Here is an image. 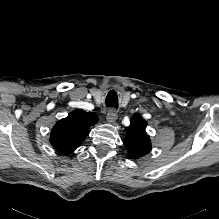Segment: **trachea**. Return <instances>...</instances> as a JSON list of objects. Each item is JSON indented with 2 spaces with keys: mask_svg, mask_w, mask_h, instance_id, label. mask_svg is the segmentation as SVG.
<instances>
[{
  "mask_svg": "<svg viewBox=\"0 0 219 219\" xmlns=\"http://www.w3.org/2000/svg\"><path fill=\"white\" fill-rule=\"evenodd\" d=\"M105 104L107 107H114L116 109L118 108V96H117L116 91L111 90L107 94Z\"/></svg>",
  "mask_w": 219,
  "mask_h": 219,
  "instance_id": "obj_1",
  "label": "trachea"
}]
</instances>
